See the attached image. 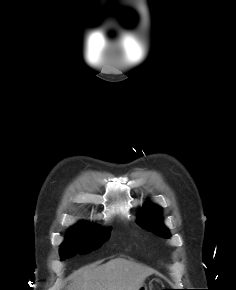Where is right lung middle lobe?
<instances>
[{
	"mask_svg": "<svg viewBox=\"0 0 236 290\" xmlns=\"http://www.w3.org/2000/svg\"><path fill=\"white\" fill-rule=\"evenodd\" d=\"M110 232L111 229L98 231L88 224L77 225L60 247L62 260L77 253L86 254L98 249L109 238Z\"/></svg>",
	"mask_w": 236,
	"mask_h": 290,
	"instance_id": "obj_1",
	"label": "right lung middle lobe"
}]
</instances>
